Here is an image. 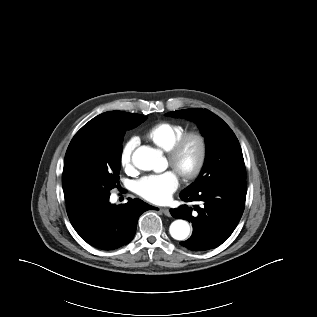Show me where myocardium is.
I'll list each match as a JSON object with an SVG mask.
<instances>
[{"instance_id":"1","label":"myocardium","mask_w":317,"mask_h":317,"mask_svg":"<svg viewBox=\"0 0 317 317\" xmlns=\"http://www.w3.org/2000/svg\"><path fill=\"white\" fill-rule=\"evenodd\" d=\"M196 144V157L193 163L185 166L182 163V157L189 144ZM208 144L206 136L200 131L185 132L173 147L168 151V159L173 168L185 179L195 178L202 170L207 158Z\"/></svg>"}]
</instances>
